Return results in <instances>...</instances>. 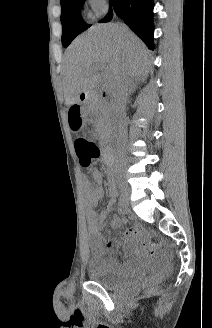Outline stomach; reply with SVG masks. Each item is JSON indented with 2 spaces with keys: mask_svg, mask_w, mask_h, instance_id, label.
Returning <instances> with one entry per match:
<instances>
[{
  "mask_svg": "<svg viewBox=\"0 0 212 328\" xmlns=\"http://www.w3.org/2000/svg\"><path fill=\"white\" fill-rule=\"evenodd\" d=\"M82 105L81 102H68L66 115L68 117L67 127L73 128V135L81 134L82 124L85 123V118L81 116Z\"/></svg>",
  "mask_w": 212,
  "mask_h": 328,
  "instance_id": "obj_1",
  "label": "stomach"
}]
</instances>
